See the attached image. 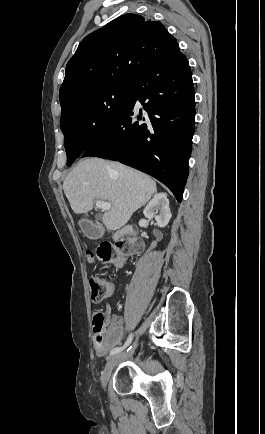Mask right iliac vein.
Instances as JSON below:
<instances>
[{
    "instance_id": "63e3f726",
    "label": "right iliac vein",
    "mask_w": 265,
    "mask_h": 434,
    "mask_svg": "<svg viewBox=\"0 0 265 434\" xmlns=\"http://www.w3.org/2000/svg\"><path fill=\"white\" fill-rule=\"evenodd\" d=\"M134 351V348H130L125 350L122 353L113 355L110 357V359L108 360V362L106 363V366L102 372L101 375V386L103 388L106 387V384L108 383V380L112 374V371L114 369V367L122 360H124L125 358L129 357Z\"/></svg>"
}]
</instances>
